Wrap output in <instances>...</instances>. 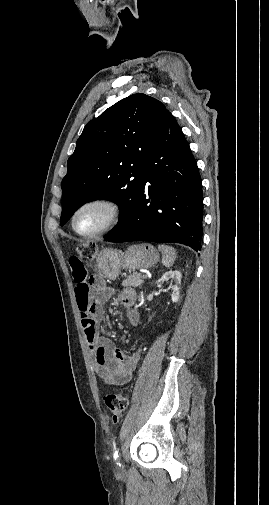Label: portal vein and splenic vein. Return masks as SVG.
I'll return each instance as SVG.
<instances>
[{"mask_svg":"<svg viewBox=\"0 0 269 505\" xmlns=\"http://www.w3.org/2000/svg\"><path fill=\"white\" fill-rule=\"evenodd\" d=\"M147 277V275H142L141 278L142 279H145Z\"/></svg>","mask_w":269,"mask_h":505,"instance_id":"obj_1","label":"portal vein and splenic vein"}]
</instances>
